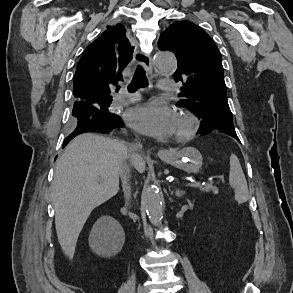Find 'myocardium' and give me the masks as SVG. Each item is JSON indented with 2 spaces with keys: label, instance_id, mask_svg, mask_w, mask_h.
Segmentation results:
<instances>
[{
  "label": "myocardium",
  "instance_id": "f54148a6",
  "mask_svg": "<svg viewBox=\"0 0 293 293\" xmlns=\"http://www.w3.org/2000/svg\"><path fill=\"white\" fill-rule=\"evenodd\" d=\"M176 121L184 125L183 129L177 130L174 134L177 141H186L191 139L195 136L199 129V121L191 113L181 112L177 114Z\"/></svg>",
  "mask_w": 293,
  "mask_h": 293
}]
</instances>
